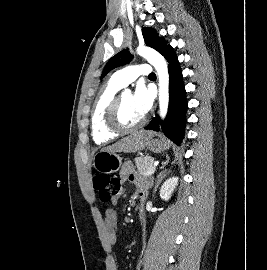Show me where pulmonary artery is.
Wrapping results in <instances>:
<instances>
[{
	"label": "pulmonary artery",
	"mask_w": 267,
	"mask_h": 270,
	"mask_svg": "<svg viewBox=\"0 0 267 270\" xmlns=\"http://www.w3.org/2000/svg\"><path fill=\"white\" fill-rule=\"evenodd\" d=\"M151 72L152 68L148 64L131 65L116 71L112 75V79L120 86L125 87L139 76L149 75Z\"/></svg>",
	"instance_id": "1"
}]
</instances>
